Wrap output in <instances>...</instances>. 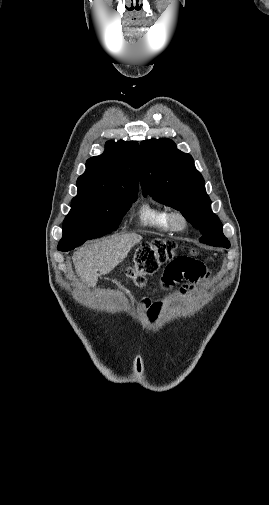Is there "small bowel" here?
<instances>
[{"label": "small bowel", "instance_id": "c3829d8e", "mask_svg": "<svg viewBox=\"0 0 269 505\" xmlns=\"http://www.w3.org/2000/svg\"><path fill=\"white\" fill-rule=\"evenodd\" d=\"M205 260H195V259H171L169 264H164L162 266V271L164 272L161 275L162 285L166 288L167 292H172V285L175 282H179L183 278L188 280L189 282H195L199 278L202 280H207L208 271ZM200 273H202V277H200ZM164 288H159V293H164ZM155 303L157 305H162L164 303V298L162 296H157L155 298ZM150 305H153V302H150ZM156 309H162V306H156Z\"/></svg>", "mask_w": 269, "mask_h": 505}]
</instances>
